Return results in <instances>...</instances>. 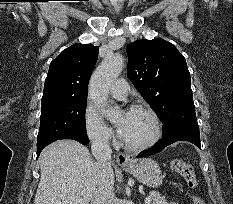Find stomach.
<instances>
[{
    "label": "stomach",
    "instance_id": "stomach-1",
    "mask_svg": "<svg viewBox=\"0 0 233 204\" xmlns=\"http://www.w3.org/2000/svg\"><path fill=\"white\" fill-rule=\"evenodd\" d=\"M123 168L138 181L149 187H158L163 181V175L158 163L150 158L137 161L131 166H124Z\"/></svg>",
    "mask_w": 233,
    "mask_h": 204
}]
</instances>
